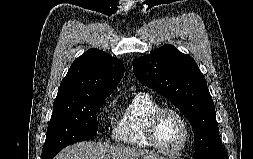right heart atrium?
<instances>
[{"instance_id":"right-heart-atrium-1","label":"right heart atrium","mask_w":253,"mask_h":159,"mask_svg":"<svg viewBox=\"0 0 253 159\" xmlns=\"http://www.w3.org/2000/svg\"><path fill=\"white\" fill-rule=\"evenodd\" d=\"M114 104H115V100L110 101L107 108L111 109L114 106Z\"/></svg>"}]
</instances>
